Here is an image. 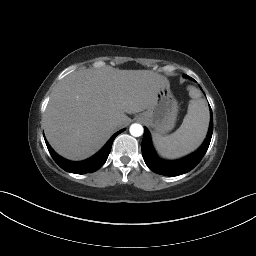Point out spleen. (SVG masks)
I'll use <instances>...</instances> for the list:
<instances>
[{"label":"spleen","instance_id":"obj_1","mask_svg":"<svg viewBox=\"0 0 256 256\" xmlns=\"http://www.w3.org/2000/svg\"><path fill=\"white\" fill-rule=\"evenodd\" d=\"M188 111L181 126L171 135H153V142L158 153L169 159L178 158L194 151L204 140L208 124L209 109L200 92L195 87L189 88Z\"/></svg>","mask_w":256,"mask_h":256}]
</instances>
